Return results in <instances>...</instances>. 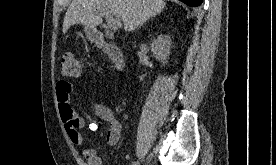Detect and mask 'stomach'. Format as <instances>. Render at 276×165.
<instances>
[{
    "label": "stomach",
    "instance_id": "0dacf381",
    "mask_svg": "<svg viewBox=\"0 0 276 165\" xmlns=\"http://www.w3.org/2000/svg\"><path fill=\"white\" fill-rule=\"evenodd\" d=\"M85 34L88 40L94 41L97 39L98 32L95 28L85 27Z\"/></svg>",
    "mask_w": 276,
    "mask_h": 165
}]
</instances>
